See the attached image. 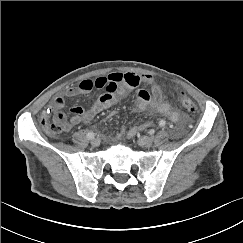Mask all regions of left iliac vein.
I'll return each mask as SVG.
<instances>
[{
  "label": "left iliac vein",
  "instance_id": "4c4485c4",
  "mask_svg": "<svg viewBox=\"0 0 243 243\" xmlns=\"http://www.w3.org/2000/svg\"><path fill=\"white\" fill-rule=\"evenodd\" d=\"M138 144L141 147L148 148V147H151L153 145V140L150 137L142 136L138 139Z\"/></svg>",
  "mask_w": 243,
  "mask_h": 243
}]
</instances>
